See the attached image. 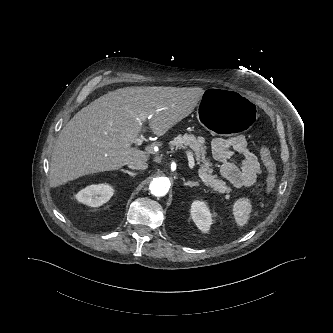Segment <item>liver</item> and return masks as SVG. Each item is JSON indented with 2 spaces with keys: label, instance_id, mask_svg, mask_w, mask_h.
Returning <instances> with one entry per match:
<instances>
[{
  "label": "liver",
  "instance_id": "liver-1",
  "mask_svg": "<svg viewBox=\"0 0 333 333\" xmlns=\"http://www.w3.org/2000/svg\"><path fill=\"white\" fill-rule=\"evenodd\" d=\"M199 87H126L108 92L81 109L64 126L54 146L50 178L53 187L97 172L118 170L130 161H148L133 148L145 130L141 113L156 136L187 117L201 100Z\"/></svg>",
  "mask_w": 333,
  "mask_h": 333
}]
</instances>
